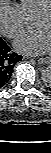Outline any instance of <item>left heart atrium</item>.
<instances>
[{
  "label": "left heart atrium",
  "mask_w": 51,
  "mask_h": 153,
  "mask_svg": "<svg viewBox=\"0 0 51 153\" xmlns=\"http://www.w3.org/2000/svg\"><path fill=\"white\" fill-rule=\"evenodd\" d=\"M14 46L17 50L27 54H44L51 47V35L44 29H38L18 38Z\"/></svg>",
  "instance_id": "39dd6f15"
}]
</instances>
